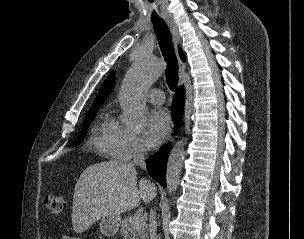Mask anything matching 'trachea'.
Listing matches in <instances>:
<instances>
[{
  "label": "trachea",
  "mask_w": 304,
  "mask_h": 239,
  "mask_svg": "<svg viewBox=\"0 0 304 239\" xmlns=\"http://www.w3.org/2000/svg\"><path fill=\"white\" fill-rule=\"evenodd\" d=\"M150 22L153 23L155 34L162 55L167 63L165 70L166 82L171 91H175L178 84V61L172 43L171 33L162 20V14L159 12L158 3L154 0H147Z\"/></svg>",
  "instance_id": "obj_1"
}]
</instances>
